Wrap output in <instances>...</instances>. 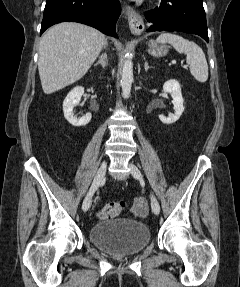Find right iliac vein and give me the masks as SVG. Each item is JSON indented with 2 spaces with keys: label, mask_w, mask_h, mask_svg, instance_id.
<instances>
[{
  "label": "right iliac vein",
  "mask_w": 240,
  "mask_h": 287,
  "mask_svg": "<svg viewBox=\"0 0 240 287\" xmlns=\"http://www.w3.org/2000/svg\"><path fill=\"white\" fill-rule=\"evenodd\" d=\"M106 168H107V162L103 161L99 170L96 173V176L93 180V183L89 189V192L87 193V195L83 201L82 209L84 212H86L90 208L92 196H93L94 192L96 191V189L99 187V185L103 182L104 176L106 174Z\"/></svg>",
  "instance_id": "63e3f726"
}]
</instances>
